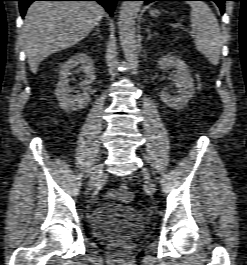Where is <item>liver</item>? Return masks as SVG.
I'll return each instance as SVG.
<instances>
[{
    "label": "liver",
    "mask_w": 247,
    "mask_h": 265,
    "mask_svg": "<svg viewBox=\"0 0 247 265\" xmlns=\"http://www.w3.org/2000/svg\"><path fill=\"white\" fill-rule=\"evenodd\" d=\"M95 2L37 1L27 10L22 39L32 73L53 53L83 40L104 17Z\"/></svg>",
    "instance_id": "liver-1"
}]
</instances>
